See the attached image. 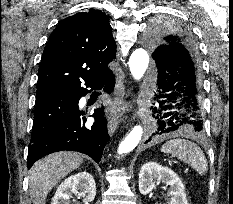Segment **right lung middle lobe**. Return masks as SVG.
<instances>
[{
  "label": "right lung middle lobe",
  "instance_id": "dd1d6c3e",
  "mask_svg": "<svg viewBox=\"0 0 233 204\" xmlns=\"http://www.w3.org/2000/svg\"><path fill=\"white\" fill-rule=\"evenodd\" d=\"M76 96L59 95L36 102L31 143L47 135L72 113Z\"/></svg>",
  "mask_w": 233,
  "mask_h": 204
}]
</instances>
